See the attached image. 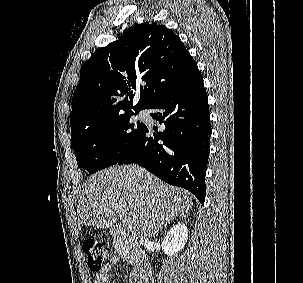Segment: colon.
<instances>
[{"instance_id":"colon-1","label":"colon","mask_w":303,"mask_h":283,"mask_svg":"<svg viewBox=\"0 0 303 283\" xmlns=\"http://www.w3.org/2000/svg\"><path fill=\"white\" fill-rule=\"evenodd\" d=\"M83 251L89 268L93 271H100L111 256L112 247L105 241L87 240L83 244Z\"/></svg>"}]
</instances>
